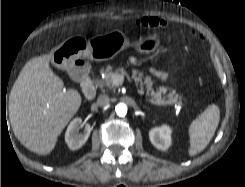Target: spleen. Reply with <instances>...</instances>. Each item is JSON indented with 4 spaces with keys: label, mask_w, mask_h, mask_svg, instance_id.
I'll list each match as a JSON object with an SVG mask.
<instances>
[{
    "label": "spleen",
    "mask_w": 245,
    "mask_h": 187,
    "mask_svg": "<svg viewBox=\"0 0 245 187\" xmlns=\"http://www.w3.org/2000/svg\"><path fill=\"white\" fill-rule=\"evenodd\" d=\"M220 120V109L217 105H209L204 112L189 126V156L202 152L212 139Z\"/></svg>",
    "instance_id": "spleen-1"
}]
</instances>
